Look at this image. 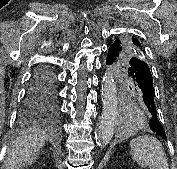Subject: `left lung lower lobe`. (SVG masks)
<instances>
[{
    "label": "left lung lower lobe",
    "mask_w": 177,
    "mask_h": 169,
    "mask_svg": "<svg viewBox=\"0 0 177 169\" xmlns=\"http://www.w3.org/2000/svg\"><path fill=\"white\" fill-rule=\"evenodd\" d=\"M121 51L122 46L118 42L112 43L108 49L106 64L111 65L113 69L118 70L128 78L135 87V90H138L142 94L144 103L152 115L149 122L150 129L156 135L167 140L164 128L158 118L154 101L153 79L148 64L138 57H130L125 62L118 63Z\"/></svg>",
    "instance_id": "0a47b994"
}]
</instances>
